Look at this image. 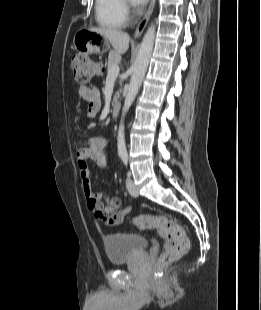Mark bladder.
Listing matches in <instances>:
<instances>
[{
    "label": "bladder",
    "mask_w": 261,
    "mask_h": 310,
    "mask_svg": "<svg viewBox=\"0 0 261 310\" xmlns=\"http://www.w3.org/2000/svg\"><path fill=\"white\" fill-rule=\"evenodd\" d=\"M147 245L148 241L144 236L134 233L115 232L104 238L106 255L114 265L134 259Z\"/></svg>",
    "instance_id": "31cf9c89"
}]
</instances>
